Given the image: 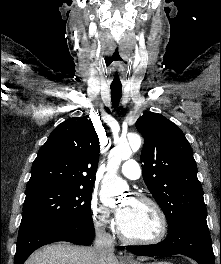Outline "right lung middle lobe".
<instances>
[{"instance_id": "right-lung-middle-lobe-1", "label": "right lung middle lobe", "mask_w": 221, "mask_h": 264, "mask_svg": "<svg viewBox=\"0 0 221 264\" xmlns=\"http://www.w3.org/2000/svg\"><path fill=\"white\" fill-rule=\"evenodd\" d=\"M93 187L60 184L26 190L20 228L27 225H78L92 223Z\"/></svg>"}]
</instances>
